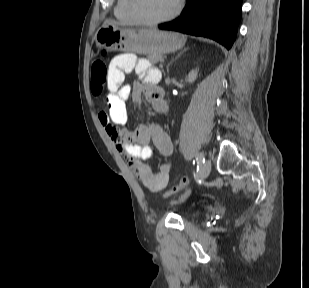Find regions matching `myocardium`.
<instances>
[{
  "instance_id": "myocardium-1",
  "label": "myocardium",
  "mask_w": 309,
  "mask_h": 288,
  "mask_svg": "<svg viewBox=\"0 0 309 288\" xmlns=\"http://www.w3.org/2000/svg\"><path fill=\"white\" fill-rule=\"evenodd\" d=\"M138 0H128L127 8L130 16L133 18L135 23L144 25V26H156L163 24L165 22H168L172 19H174L182 10L183 5H184V0H177V4L173 11L169 13L168 15L159 18V19H146L144 18L138 11Z\"/></svg>"
}]
</instances>
